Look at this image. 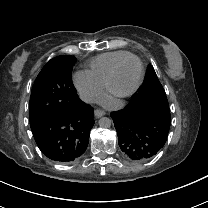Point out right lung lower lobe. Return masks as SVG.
Segmentation results:
<instances>
[{
	"instance_id": "obj_1",
	"label": "right lung lower lobe",
	"mask_w": 208,
	"mask_h": 208,
	"mask_svg": "<svg viewBox=\"0 0 208 208\" xmlns=\"http://www.w3.org/2000/svg\"><path fill=\"white\" fill-rule=\"evenodd\" d=\"M93 113V108L77 96L72 109L51 114L45 120L30 122L41 152L59 163L77 160L88 146L89 133L95 123Z\"/></svg>"
}]
</instances>
